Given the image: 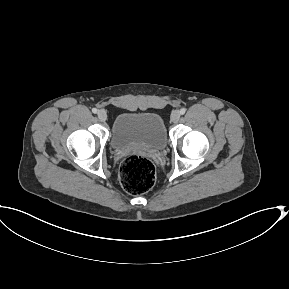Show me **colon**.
Masks as SVG:
<instances>
[{"mask_svg":"<svg viewBox=\"0 0 289 289\" xmlns=\"http://www.w3.org/2000/svg\"><path fill=\"white\" fill-rule=\"evenodd\" d=\"M120 183L131 194H143L150 190L155 182L153 163L141 155L127 157L120 168Z\"/></svg>","mask_w":289,"mask_h":289,"instance_id":"colon-1","label":"colon"}]
</instances>
